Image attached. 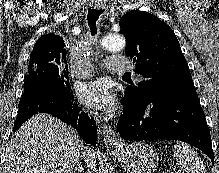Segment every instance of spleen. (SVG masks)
<instances>
[{"mask_svg": "<svg viewBox=\"0 0 219 173\" xmlns=\"http://www.w3.org/2000/svg\"><path fill=\"white\" fill-rule=\"evenodd\" d=\"M174 157L183 173H206L200 157L184 143H177L174 146Z\"/></svg>", "mask_w": 219, "mask_h": 173, "instance_id": "3e777b00", "label": "spleen"}]
</instances>
